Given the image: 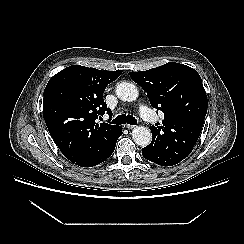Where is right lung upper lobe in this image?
Returning a JSON list of instances; mask_svg holds the SVG:
<instances>
[{
    "instance_id": "cb5924a9",
    "label": "right lung upper lobe",
    "mask_w": 244,
    "mask_h": 244,
    "mask_svg": "<svg viewBox=\"0 0 244 244\" xmlns=\"http://www.w3.org/2000/svg\"><path fill=\"white\" fill-rule=\"evenodd\" d=\"M122 73L72 65L54 75L44 90L43 116L62 154L71 162L100 156L120 126L96 123L105 112L106 86Z\"/></svg>"
}]
</instances>
